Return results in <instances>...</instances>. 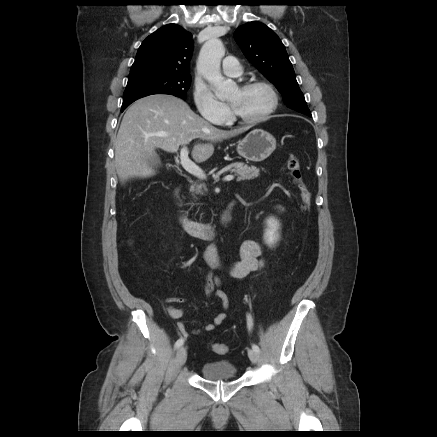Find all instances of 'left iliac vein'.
I'll use <instances>...</instances> for the list:
<instances>
[{"label": "left iliac vein", "instance_id": "1", "mask_svg": "<svg viewBox=\"0 0 437 437\" xmlns=\"http://www.w3.org/2000/svg\"><path fill=\"white\" fill-rule=\"evenodd\" d=\"M248 356L252 363L256 364L259 361V353L251 349L248 351Z\"/></svg>", "mask_w": 437, "mask_h": 437}]
</instances>
